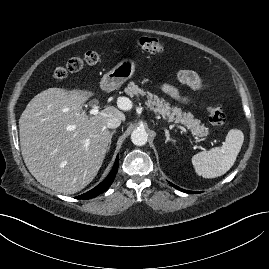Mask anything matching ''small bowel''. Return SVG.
Here are the masks:
<instances>
[{"label":"small bowel","instance_id":"c3829d8e","mask_svg":"<svg viewBox=\"0 0 269 269\" xmlns=\"http://www.w3.org/2000/svg\"><path fill=\"white\" fill-rule=\"evenodd\" d=\"M177 81L180 84L186 85L195 91H202L206 87L204 80L195 71L189 69L180 70L177 73ZM161 90L168 96L178 101L181 102L187 101L186 98L180 95L178 89L171 84L163 83L161 85Z\"/></svg>","mask_w":269,"mask_h":269}]
</instances>
